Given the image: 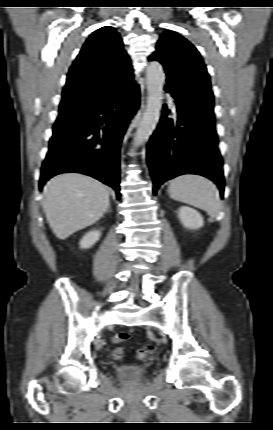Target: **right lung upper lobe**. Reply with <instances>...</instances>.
<instances>
[{
    "mask_svg": "<svg viewBox=\"0 0 273 430\" xmlns=\"http://www.w3.org/2000/svg\"><path fill=\"white\" fill-rule=\"evenodd\" d=\"M131 61L113 27L93 32L73 62L62 93L61 108L84 109L104 91L134 85Z\"/></svg>",
    "mask_w": 273,
    "mask_h": 430,
    "instance_id": "obj_1",
    "label": "right lung upper lobe"
}]
</instances>
